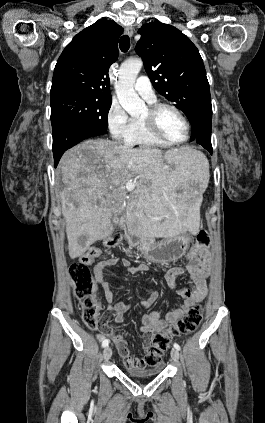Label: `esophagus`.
<instances>
[{"instance_id": "esophagus-1", "label": "esophagus", "mask_w": 265, "mask_h": 423, "mask_svg": "<svg viewBox=\"0 0 265 423\" xmlns=\"http://www.w3.org/2000/svg\"><path fill=\"white\" fill-rule=\"evenodd\" d=\"M125 34L131 37L133 35V28L131 26L125 27Z\"/></svg>"}]
</instances>
